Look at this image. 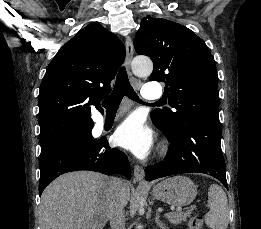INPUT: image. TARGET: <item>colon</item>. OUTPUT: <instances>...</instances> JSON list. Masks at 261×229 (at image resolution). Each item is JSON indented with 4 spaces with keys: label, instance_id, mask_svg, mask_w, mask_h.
I'll return each instance as SVG.
<instances>
[{
    "label": "colon",
    "instance_id": "obj_1",
    "mask_svg": "<svg viewBox=\"0 0 261 229\" xmlns=\"http://www.w3.org/2000/svg\"><path fill=\"white\" fill-rule=\"evenodd\" d=\"M203 227V217L201 215H196L189 219L187 223V229H202Z\"/></svg>",
    "mask_w": 261,
    "mask_h": 229
}]
</instances>
